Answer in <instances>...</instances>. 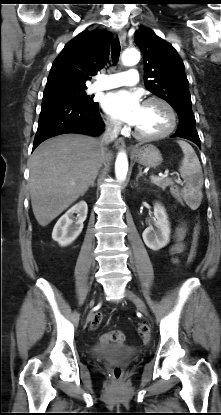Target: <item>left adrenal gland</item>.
<instances>
[{
  "instance_id": "obj_1",
  "label": "left adrenal gland",
  "mask_w": 221,
  "mask_h": 415,
  "mask_svg": "<svg viewBox=\"0 0 221 415\" xmlns=\"http://www.w3.org/2000/svg\"><path fill=\"white\" fill-rule=\"evenodd\" d=\"M140 177H142V171H141V168L139 167V173H138V175L136 176V182H138V179H139Z\"/></svg>"
}]
</instances>
